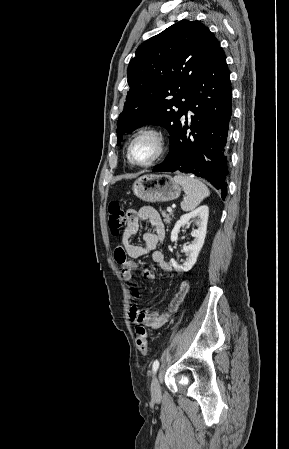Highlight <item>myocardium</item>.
Listing matches in <instances>:
<instances>
[{
  "instance_id": "myocardium-1",
  "label": "myocardium",
  "mask_w": 289,
  "mask_h": 449,
  "mask_svg": "<svg viewBox=\"0 0 289 449\" xmlns=\"http://www.w3.org/2000/svg\"><path fill=\"white\" fill-rule=\"evenodd\" d=\"M143 137H150L154 140L156 143V153L155 155L147 162L140 163L134 160L132 155V148L134 143ZM166 151V137L164 133L156 128V127H144L140 130H138L131 138L128 148H127V157L128 160L136 166L139 167H148L156 163L158 160L161 159V157L164 155Z\"/></svg>"
}]
</instances>
